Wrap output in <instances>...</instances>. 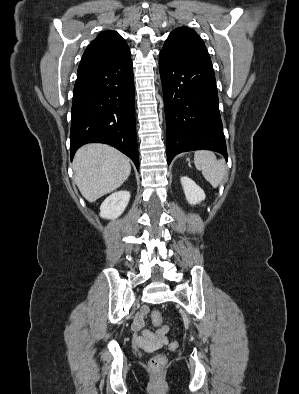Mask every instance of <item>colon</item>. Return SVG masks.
I'll return each mask as SVG.
<instances>
[{
  "mask_svg": "<svg viewBox=\"0 0 299 394\" xmlns=\"http://www.w3.org/2000/svg\"><path fill=\"white\" fill-rule=\"evenodd\" d=\"M153 320L157 323L160 322V313L158 311H154L153 314ZM178 344L176 342H172L170 347L175 349L177 348ZM166 363V357L162 354H157L153 356L148 363V366L151 370H158L162 368Z\"/></svg>",
  "mask_w": 299,
  "mask_h": 394,
  "instance_id": "colon-1",
  "label": "colon"
}]
</instances>
